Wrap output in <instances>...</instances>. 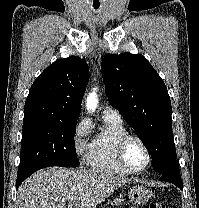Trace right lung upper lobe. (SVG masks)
I'll use <instances>...</instances> for the list:
<instances>
[{"mask_svg":"<svg viewBox=\"0 0 199 208\" xmlns=\"http://www.w3.org/2000/svg\"><path fill=\"white\" fill-rule=\"evenodd\" d=\"M88 80L89 68L83 59L72 56L54 62L31 86L24 116L77 119Z\"/></svg>","mask_w":199,"mask_h":208,"instance_id":"right-lung-upper-lobe-1","label":"right lung upper lobe"}]
</instances>
